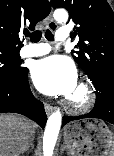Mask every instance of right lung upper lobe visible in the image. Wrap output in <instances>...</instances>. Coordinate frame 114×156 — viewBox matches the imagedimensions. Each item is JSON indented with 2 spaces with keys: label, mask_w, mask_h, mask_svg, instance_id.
<instances>
[{
  "label": "right lung upper lobe",
  "mask_w": 114,
  "mask_h": 156,
  "mask_svg": "<svg viewBox=\"0 0 114 156\" xmlns=\"http://www.w3.org/2000/svg\"><path fill=\"white\" fill-rule=\"evenodd\" d=\"M50 10L45 0H0V49L20 50L22 30H34Z\"/></svg>",
  "instance_id": "obj_1"
}]
</instances>
